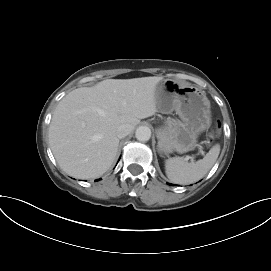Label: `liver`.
<instances>
[{"mask_svg": "<svg viewBox=\"0 0 271 271\" xmlns=\"http://www.w3.org/2000/svg\"><path fill=\"white\" fill-rule=\"evenodd\" d=\"M162 77L106 79L68 93L49 126V143L60 168L79 179L97 178L113 164L116 130L157 112L155 90Z\"/></svg>", "mask_w": 271, "mask_h": 271, "instance_id": "1", "label": "liver"}]
</instances>
